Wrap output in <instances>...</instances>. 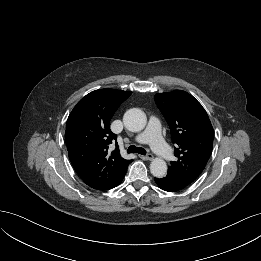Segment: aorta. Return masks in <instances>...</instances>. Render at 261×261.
<instances>
[{
    "mask_svg": "<svg viewBox=\"0 0 261 261\" xmlns=\"http://www.w3.org/2000/svg\"><path fill=\"white\" fill-rule=\"evenodd\" d=\"M123 122L129 131L139 132L145 128L147 117L141 109L131 108L124 114ZM150 171L153 176L162 178L167 173V164L163 159L155 158L150 164Z\"/></svg>",
    "mask_w": 261,
    "mask_h": 261,
    "instance_id": "762f6f07",
    "label": "aorta"
}]
</instances>
